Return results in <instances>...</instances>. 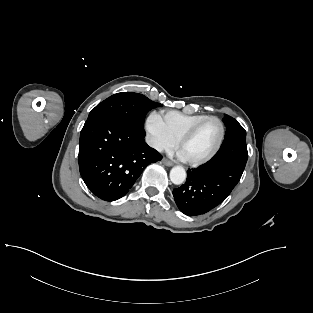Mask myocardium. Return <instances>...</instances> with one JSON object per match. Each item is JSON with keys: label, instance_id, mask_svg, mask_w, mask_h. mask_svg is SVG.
I'll return each instance as SVG.
<instances>
[{"label": "myocardium", "instance_id": "f54148a6", "mask_svg": "<svg viewBox=\"0 0 313 313\" xmlns=\"http://www.w3.org/2000/svg\"><path fill=\"white\" fill-rule=\"evenodd\" d=\"M210 120H215L218 122L219 127H220V135H219V139L215 145V147L213 148V150L206 155L203 158L200 159H195V160H187V163L192 165V166H199L202 164H205L207 162H209L211 159H213L215 157V155L218 153V151L220 150L223 141H224V137H225V125L223 123V121L217 117V116H207L206 118L202 119L201 121L197 122L196 124H194L193 126H191L189 129H187L176 141L177 143V148L180 149V147L188 140L190 139L194 133L206 122L210 121Z\"/></svg>", "mask_w": 313, "mask_h": 313}]
</instances>
